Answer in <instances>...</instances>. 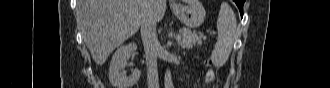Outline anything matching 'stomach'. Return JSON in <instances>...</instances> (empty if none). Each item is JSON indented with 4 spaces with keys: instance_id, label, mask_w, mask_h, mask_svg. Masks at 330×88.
Here are the masks:
<instances>
[{
    "instance_id": "obj_1",
    "label": "stomach",
    "mask_w": 330,
    "mask_h": 88,
    "mask_svg": "<svg viewBox=\"0 0 330 88\" xmlns=\"http://www.w3.org/2000/svg\"><path fill=\"white\" fill-rule=\"evenodd\" d=\"M173 13L181 23L190 29L199 27L206 15L203 5L198 0H191L186 5H175Z\"/></svg>"
}]
</instances>
